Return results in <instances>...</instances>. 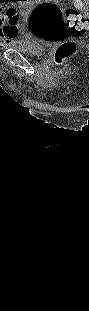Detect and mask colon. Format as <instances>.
<instances>
[{
    "mask_svg": "<svg viewBox=\"0 0 89 311\" xmlns=\"http://www.w3.org/2000/svg\"><path fill=\"white\" fill-rule=\"evenodd\" d=\"M16 16V10L9 8L2 13L1 22L5 27L15 30L18 28ZM88 25V12L81 0L76 1L75 8H66L53 0H47L33 9L29 19V28L34 35L59 43L55 53L58 62L75 52L76 42L73 39L83 36Z\"/></svg>",
    "mask_w": 89,
    "mask_h": 311,
    "instance_id": "5ec220e1",
    "label": "colon"
}]
</instances>
